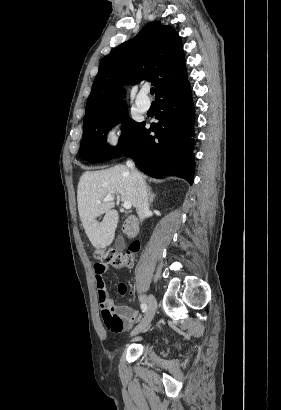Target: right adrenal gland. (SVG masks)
I'll return each mask as SVG.
<instances>
[{
    "instance_id": "obj_1",
    "label": "right adrenal gland",
    "mask_w": 281,
    "mask_h": 410,
    "mask_svg": "<svg viewBox=\"0 0 281 410\" xmlns=\"http://www.w3.org/2000/svg\"><path fill=\"white\" fill-rule=\"evenodd\" d=\"M148 194H149V205H151L153 202V199L155 198V194L152 193L150 187H148Z\"/></svg>"
}]
</instances>
